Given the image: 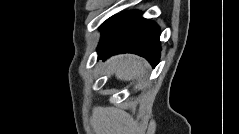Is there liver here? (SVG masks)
Returning a JSON list of instances; mask_svg holds the SVG:
<instances>
[{
    "label": "liver",
    "instance_id": "1",
    "mask_svg": "<svg viewBox=\"0 0 239 134\" xmlns=\"http://www.w3.org/2000/svg\"><path fill=\"white\" fill-rule=\"evenodd\" d=\"M146 62L134 55H120L107 61L109 71L122 81H131L144 76Z\"/></svg>",
    "mask_w": 239,
    "mask_h": 134
}]
</instances>
